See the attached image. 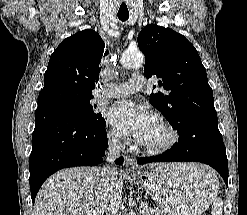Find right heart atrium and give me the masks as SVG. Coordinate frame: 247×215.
I'll return each mask as SVG.
<instances>
[{
    "label": "right heart atrium",
    "mask_w": 247,
    "mask_h": 215,
    "mask_svg": "<svg viewBox=\"0 0 247 215\" xmlns=\"http://www.w3.org/2000/svg\"><path fill=\"white\" fill-rule=\"evenodd\" d=\"M107 138L110 146L113 148L120 149L124 145L122 137L114 130H109L107 132Z\"/></svg>",
    "instance_id": "d8ad5b80"
}]
</instances>
